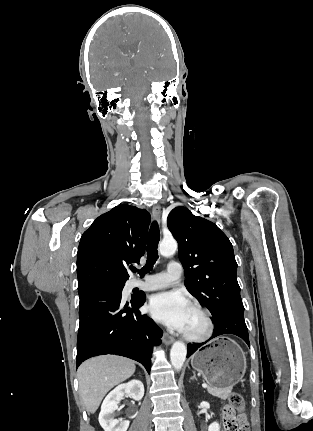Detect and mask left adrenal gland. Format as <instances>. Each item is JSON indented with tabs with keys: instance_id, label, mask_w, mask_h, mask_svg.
I'll list each match as a JSON object with an SVG mask.
<instances>
[{
	"instance_id": "1",
	"label": "left adrenal gland",
	"mask_w": 313,
	"mask_h": 431,
	"mask_svg": "<svg viewBox=\"0 0 313 431\" xmlns=\"http://www.w3.org/2000/svg\"><path fill=\"white\" fill-rule=\"evenodd\" d=\"M190 380H197L195 372H193V376L190 378Z\"/></svg>"
}]
</instances>
